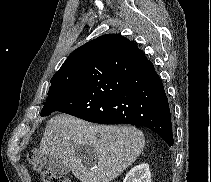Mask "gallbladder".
<instances>
[{
	"instance_id": "bac80fb5",
	"label": "gallbladder",
	"mask_w": 211,
	"mask_h": 182,
	"mask_svg": "<svg viewBox=\"0 0 211 182\" xmlns=\"http://www.w3.org/2000/svg\"><path fill=\"white\" fill-rule=\"evenodd\" d=\"M76 155L82 158L83 161L90 159L95 160V152L88 146H78L76 148ZM43 166L53 174L65 175L69 173V168L63 162L52 155H45L42 157Z\"/></svg>"
}]
</instances>
